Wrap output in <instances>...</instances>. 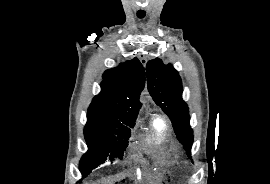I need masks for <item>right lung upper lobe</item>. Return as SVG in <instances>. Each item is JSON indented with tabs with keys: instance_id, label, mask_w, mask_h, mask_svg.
I'll list each match as a JSON object with an SVG mask.
<instances>
[{
	"instance_id": "obj_1",
	"label": "right lung upper lobe",
	"mask_w": 270,
	"mask_h": 184,
	"mask_svg": "<svg viewBox=\"0 0 270 184\" xmlns=\"http://www.w3.org/2000/svg\"><path fill=\"white\" fill-rule=\"evenodd\" d=\"M102 91L96 95L88 109L95 120L112 122L135 121L141 103L139 96L145 86V73L137 58L105 71Z\"/></svg>"
}]
</instances>
